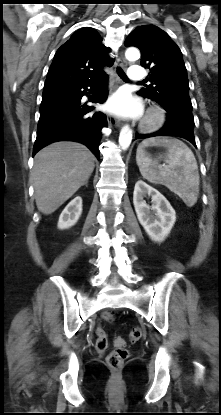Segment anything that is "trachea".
Instances as JSON below:
<instances>
[{"instance_id":"trachea-1","label":"trachea","mask_w":221,"mask_h":415,"mask_svg":"<svg viewBox=\"0 0 221 415\" xmlns=\"http://www.w3.org/2000/svg\"><path fill=\"white\" fill-rule=\"evenodd\" d=\"M118 74H119V77H120L122 80H124V81H128V78H127V76H126L125 72H124L121 68H119V69H118Z\"/></svg>"}]
</instances>
